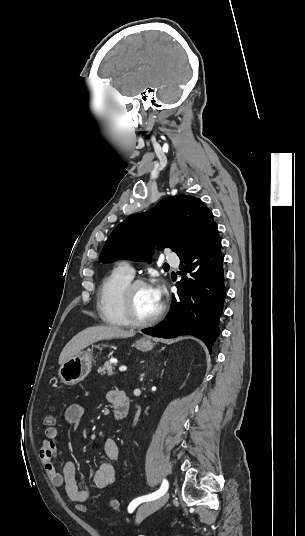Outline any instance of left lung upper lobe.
<instances>
[{
	"label": "left lung upper lobe",
	"mask_w": 305,
	"mask_h": 536,
	"mask_svg": "<svg viewBox=\"0 0 305 536\" xmlns=\"http://www.w3.org/2000/svg\"><path fill=\"white\" fill-rule=\"evenodd\" d=\"M215 227L212 212L200 199L187 195L168 197L148 212L131 215L120 223L108 237L99 261H150V233H155L158 249L170 248L180 258Z\"/></svg>",
	"instance_id": "obj_1"
}]
</instances>
